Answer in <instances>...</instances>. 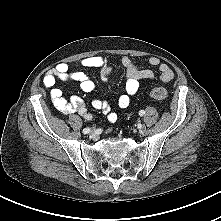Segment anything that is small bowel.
Returning a JSON list of instances; mask_svg holds the SVG:
<instances>
[{
  "instance_id": "obj_1",
  "label": "small bowel",
  "mask_w": 221,
  "mask_h": 221,
  "mask_svg": "<svg viewBox=\"0 0 221 221\" xmlns=\"http://www.w3.org/2000/svg\"><path fill=\"white\" fill-rule=\"evenodd\" d=\"M121 64L126 68V92L121 94L118 98V106L125 109L130 104V99L135 95L139 89V81L141 79H154L155 72L153 68H158L160 76L159 79L164 82H170L174 79V72L171 67L157 57H151L149 64L151 68H141L127 56L121 58ZM77 66L84 68H99L100 79L102 82H107L112 73V66L107 57L105 56H92L82 59ZM57 80L63 82H76L84 92H91L95 89L94 81L84 72L80 70H73L66 63L57 65L54 69L48 71L44 77L43 83L45 88L50 90V96L53 105L61 111L62 114L77 113L85 120H92V115L87 111L86 104L79 96H72L69 100L63 97L62 90L56 87ZM92 106L101 110L109 122L114 123L117 121V114L110 111L108 104L99 98L92 100ZM108 132L110 129L107 130Z\"/></svg>"
}]
</instances>
